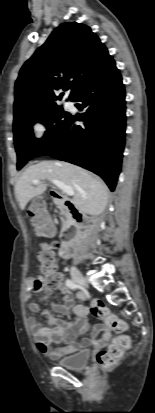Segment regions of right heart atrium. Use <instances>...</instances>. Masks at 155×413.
<instances>
[{
  "instance_id": "obj_1",
  "label": "right heart atrium",
  "mask_w": 155,
  "mask_h": 413,
  "mask_svg": "<svg viewBox=\"0 0 155 413\" xmlns=\"http://www.w3.org/2000/svg\"><path fill=\"white\" fill-rule=\"evenodd\" d=\"M31 132L36 140H41L47 133V123L43 119H35L31 123Z\"/></svg>"
}]
</instances>
